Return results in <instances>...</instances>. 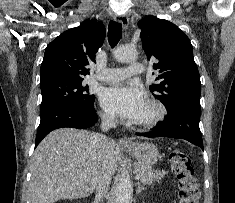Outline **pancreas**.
<instances>
[{"label": "pancreas", "instance_id": "obj_1", "mask_svg": "<svg viewBox=\"0 0 235 203\" xmlns=\"http://www.w3.org/2000/svg\"><path fill=\"white\" fill-rule=\"evenodd\" d=\"M135 171L140 175L142 183H151L154 180L159 181L167 174V171H157L152 166L142 165L140 163L135 165Z\"/></svg>", "mask_w": 235, "mask_h": 203}]
</instances>
